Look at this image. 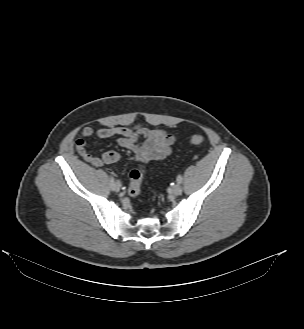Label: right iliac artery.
Returning <instances> with one entry per match:
<instances>
[{
	"label": "right iliac artery",
	"instance_id": "right-iliac-artery-1",
	"mask_svg": "<svg viewBox=\"0 0 304 329\" xmlns=\"http://www.w3.org/2000/svg\"><path fill=\"white\" fill-rule=\"evenodd\" d=\"M114 185H115V179L111 176L110 177V186H111V189L114 191Z\"/></svg>",
	"mask_w": 304,
	"mask_h": 329
}]
</instances>
